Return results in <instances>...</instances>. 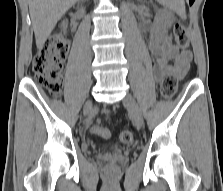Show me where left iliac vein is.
<instances>
[{
  "mask_svg": "<svg viewBox=\"0 0 223 191\" xmlns=\"http://www.w3.org/2000/svg\"><path fill=\"white\" fill-rule=\"evenodd\" d=\"M123 105L128 110L134 124L137 126V128H142L143 126V116L141 109L135 99L130 95L127 94L126 97L123 100Z\"/></svg>",
  "mask_w": 223,
  "mask_h": 191,
  "instance_id": "left-iliac-vein-1",
  "label": "left iliac vein"
}]
</instances>
